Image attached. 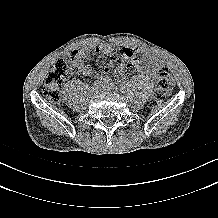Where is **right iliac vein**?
<instances>
[{"label":"right iliac vein","mask_w":218,"mask_h":218,"mask_svg":"<svg viewBox=\"0 0 218 218\" xmlns=\"http://www.w3.org/2000/svg\"><path fill=\"white\" fill-rule=\"evenodd\" d=\"M101 87H102V85L101 84H93V87H92V91L94 92V93H98L100 90H101Z\"/></svg>","instance_id":"63e3f726"}]
</instances>
